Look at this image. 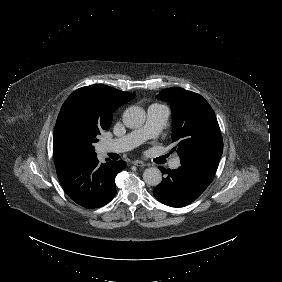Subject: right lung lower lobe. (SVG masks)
<instances>
[{"label": "right lung lower lobe", "instance_id": "right-lung-lower-lobe-1", "mask_svg": "<svg viewBox=\"0 0 282 282\" xmlns=\"http://www.w3.org/2000/svg\"><path fill=\"white\" fill-rule=\"evenodd\" d=\"M125 167L122 160L99 164L95 154L62 165L56 172L73 201L85 208H98L116 195L115 177Z\"/></svg>", "mask_w": 282, "mask_h": 282}]
</instances>
